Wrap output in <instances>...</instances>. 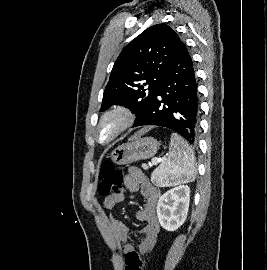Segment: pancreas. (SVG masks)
I'll return each mask as SVG.
<instances>
[{"mask_svg":"<svg viewBox=\"0 0 267 270\" xmlns=\"http://www.w3.org/2000/svg\"><path fill=\"white\" fill-rule=\"evenodd\" d=\"M143 169L147 170L148 169V166L146 164H143L142 165ZM154 173V172H153ZM153 175V174H152Z\"/></svg>","mask_w":267,"mask_h":270,"instance_id":"obj_1","label":"pancreas"}]
</instances>
